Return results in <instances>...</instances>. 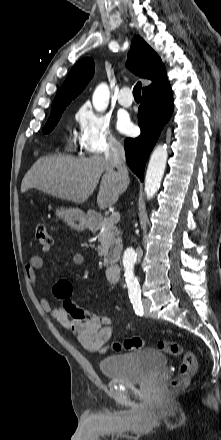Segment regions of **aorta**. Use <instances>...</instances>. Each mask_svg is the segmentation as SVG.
<instances>
[{"instance_id": "aorta-1", "label": "aorta", "mask_w": 221, "mask_h": 440, "mask_svg": "<svg viewBox=\"0 0 221 440\" xmlns=\"http://www.w3.org/2000/svg\"><path fill=\"white\" fill-rule=\"evenodd\" d=\"M110 92L105 83L100 84L94 91L92 102L97 111H104L109 104ZM168 152L165 145H158L150 158L146 177H145V193L148 199L152 198L160 187ZM136 262V253L133 248H127L123 256L124 275L128 290L130 292H138L140 290L139 283L134 276V264Z\"/></svg>"}]
</instances>
